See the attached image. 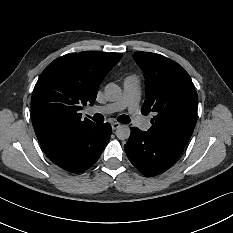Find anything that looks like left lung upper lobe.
Here are the masks:
<instances>
[{"label":"left lung upper lobe","instance_id":"5c2ea615","mask_svg":"<svg viewBox=\"0 0 233 233\" xmlns=\"http://www.w3.org/2000/svg\"><path fill=\"white\" fill-rule=\"evenodd\" d=\"M133 58L145 77V102L141 112H153L151 137L186 146L197 121L198 96L188 73L176 62L149 52Z\"/></svg>","mask_w":233,"mask_h":233}]
</instances>
